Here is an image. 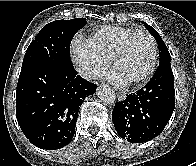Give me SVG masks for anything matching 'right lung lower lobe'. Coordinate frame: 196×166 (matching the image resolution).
Returning a JSON list of instances; mask_svg holds the SVG:
<instances>
[{
    "label": "right lung lower lobe",
    "mask_w": 196,
    "mask_h": 166,
    "mask_svg": "<svg viewBox=\"0 0 196 166\" xmlns=\"http://www.w3.org/2000/svg\"><path fill=\"white\" fill-rule=\"evenodd\" d=\"M73 66L37 61L22 67L16 92V117L35 146L54 150L68 145L74 134L79 106L95 93Z\"/></svg>",
    "instance_id": "right-lung-lower-lobe-1"
}]
</instances>
